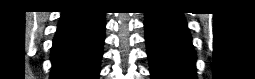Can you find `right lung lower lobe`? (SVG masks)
I'll use <instances>...</instances> for the list:
<instances>
[{
    "label": "right lung lower lobe",
    "instance_id": "right-lung-lower-lobe-1",
    "mask_svg": "<svg viewBox=\"0 0 255 79\" xmlns=\"http://www.w3.org/2000/svg\"><path fill=\"white\" fill-rule=\"evenodd\" d=\"M104 31L103 12H62L51 51L50 79H98Z\"/></svg>",
    "mask_w": 255,
    "mask_h": 79
}]
</instances>
